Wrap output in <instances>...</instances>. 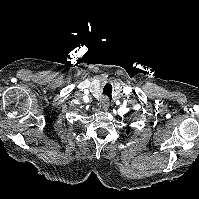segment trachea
<instances>
[{"label": "trachea", "mask_w": 199, "mask_h": 199, "mask_svg": "<svg viewBox=\"0 0 199 199\" xmlns=\"http://www.w3.org/2000/svg\"><path fill=\"white\" fill-rule=\"evenodd\" d=\"M103 93H104L109 99H111V93H112V86H111V84H109V83L105 84Z\"/></svg>", "instance_id": "trachea-1"}]
</instances>
